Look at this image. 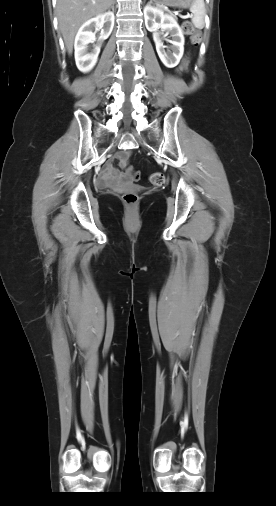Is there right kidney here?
I'll return each mask as SVG.
<instances>
[{
  "label": "right kidney",
  "instance_id": "obj_1",
  "mask_svg": "<svg viewBox=\"0 0 276 506\" xmlns=\"http://www.w3.org/2000/svg\"><path fill=\"white\" fill-rule=\"evenodd\" d=\"M114 19V13L108 11L86 21L78 30L75 37L74 49L76 65L80 71L89 72L97 63L100 43L111 34ZM98 30H101L98 43L94 45L92 50H89L88 44L96 40L94 31Z\"/></svg>",
  "mask_w": 276,
  "mask_h": 506
}]
</instances>
